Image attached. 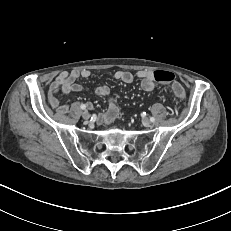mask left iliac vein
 <instances>
[{"label":"left iliac vein","instance_id":"1","mask_svg":"<svg viewBox=\"0 0 231 231\" xmlns=\"http://www.w3.org/2000/svg\"><path fill=\"white\" fill-rule=\"evenodd\" d=\"M142 124H143L145 127H148V126L150 125V120H149L148 118H143Z\"/></svg>","mask_w":231,"mask_h":231}]
</instances>
